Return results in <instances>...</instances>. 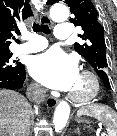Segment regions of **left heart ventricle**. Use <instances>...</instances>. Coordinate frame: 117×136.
Returning a JSON list of instances; mask_svg holds the SVG:
<instances>
[{
	"label": "left heart ventricle",
	"mask_w": 117,
	"mask_h": 136,
	"mask_svg": "<svg viewBox=\"0 0 117 136\" xmlns=\"http://www.w3.org/2000/svg\"><path fill=\"white\" fill-rule=\"evenodd\" d=\"M89 90H90L89 81L79 75L71 92L78 94V95H85L89 92Z\"/></svg>",
	"instance_id": "left-heart-ventricle-1"
}]
</instances>
